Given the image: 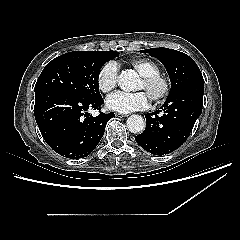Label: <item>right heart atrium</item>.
Instances as JSON below:
<instances>
[{
	"mask_svg": "<svg viewBox=\"0 0 240 240\" xmlns=\"http://www.w3.org/2000/svg\"><path fill=\"white\" fill-rule=\"evenodd\" d=\"M119 68L116 62L108 61L101 66L97 74V85L101 92L111 91L118 82Z\"/></svg>",
	"mask_w": 240,
	"mask_h": 240,
	"instance_id": "right-heart-atrium-1",
	"label": "right heart atrium"
}]
</instances>
